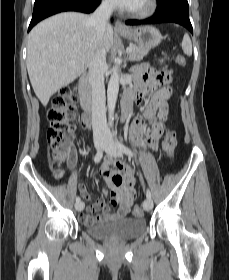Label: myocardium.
<instances>
[{
    "label": "myocardium",
    "instance_id": "1",
    "mask_svg": "<svg viewBox=\"0 0 229 280\" xmlns=\"http://www.w3.org/2000/svg\"><path fill=\"white\" fill-rule=\"evenodd\" d=\"M157 9V0H146L145 5L140 9L126 8L125 11L135 18H146L152 15Z\"/></svg>",
    "mask_w": 229,
    "mask_h": 280
}]
</instances>
